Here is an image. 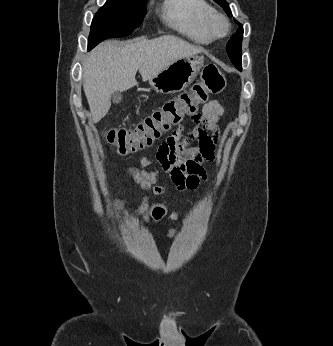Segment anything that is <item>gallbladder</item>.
<instances>
[{"mask_svg":"<svg viewBox=\"0 0 333 346\" xmlns=\"http://www.w3.org/2000/svg\"><path fill=\"white\" fill-rule=\"evenodd\" d=\"M111 100L113 103L118 104L122 100V95L120 92H115L111 95Z\"/></svg>","mask_w":333,"mask_h":346,"instance_id":"bac80fb5","label":"gallbladder"}]
</instances>
